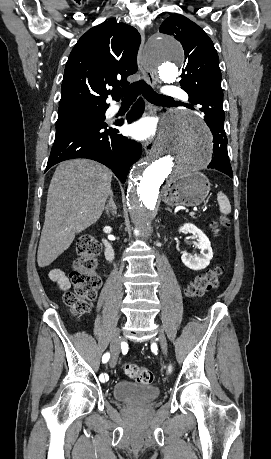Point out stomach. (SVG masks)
<instances>
[{"label":"stomach","mask_w":271,"mask_h":459,"mask_svg":"<svg viewBox=\"0 0 271 459\" xmlns=\"http://www.w3.org/2000/svg\"><path fill=\"white\" fill-rule=\"evenodd\" d=\"M210 182L201 172L183 174L167 180L162 200L169 206H199L210 192Z\"/></svg>","instance_id":"obj_1"}]
</instances>
